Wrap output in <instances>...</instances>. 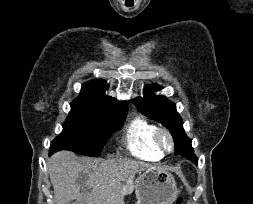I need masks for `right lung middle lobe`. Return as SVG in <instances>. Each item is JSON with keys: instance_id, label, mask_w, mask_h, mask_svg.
Segmentation results:
<instances>
[{"instance_id": "dd1d6c3e", "label": "right lung middle lobe", "mask_w": 253, "mask_h": 204, "mask_svg": "<svg viewBox=\"0 0 253 204\" xmlns=\"http://www.w3.org/2000/svg\"><path fill=\"white\" fill-rule=\"evenodd\" d=\"M126 114L112 116L105 110L73 101L63 132L50 146V153L70 150L87 156H99L113 131L120 129Z\"/></svg>"}]
</instances>
